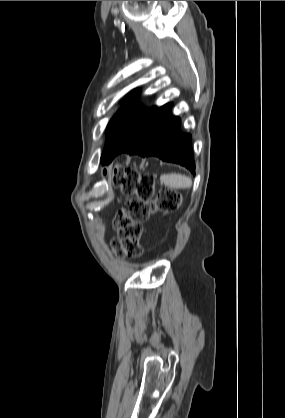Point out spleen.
Here are the masks:
<instances>
[{"mask_svg":"<svg viewBox=\"0 0 285 418\" xmlns=\"http://www.w3.org/2000/svg\"><path fill=\"white\" fill-rule=\"evenodd\" d=\"M160 181L167 187L176 189H187L192 186V180L189 177L177 173L161 175Z\"/></svg>","mask_w":285,"mask_h":418,"instance_id":"spleen-1","label":"spleen"}]
</instances>
